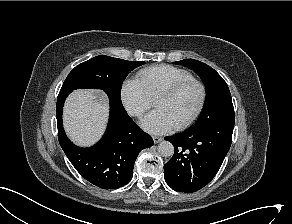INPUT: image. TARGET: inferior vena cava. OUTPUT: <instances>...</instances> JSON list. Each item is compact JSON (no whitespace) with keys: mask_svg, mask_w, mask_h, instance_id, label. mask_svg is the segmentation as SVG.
I'll list each match as a JSON object with an SVG mask.
<instances>
[{"mask_svg":"<svg viewBox=\"0 0 292 224\" xmlns=\"http://www.w3.org/2000/svg\"><path fill=\"white\" fill-rule=\"evenodd\" d=\"M136 115H140V111H137V112H136Z\"/></svg>","mask_w":292,"mask_h":224,"instance_id":"obj_1","label":"inferior vena cava"}]
</instances>
